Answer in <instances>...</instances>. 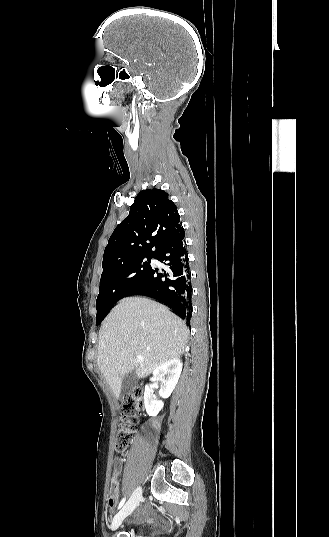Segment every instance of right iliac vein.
<instances>
[{
	"label": "right iliac vein",
	"mask_w": 329,
	"mask_h": 537,
	"mask_svg": "<svg viewBox=\"0 0 329 537\" xmlns=\"http://www.w3.org/2000/svg\"><path fill=\"white\" fill-rule=\"evenodd\" d=\"M141 497H142V488L139 486L135 489L132 496L127 501V503L123 506V508L113 518V521L110 527L112 531L116 530L121 525L123 520L134 511L139 501L141 500Z\"/></svg>",
	"instance_id": "1"
}]
</instances>
